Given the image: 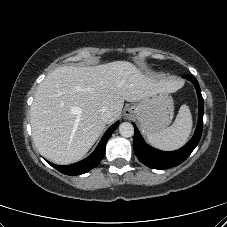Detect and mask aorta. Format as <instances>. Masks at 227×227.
<instances>
[{
	"mask_svg": "<svg viewBox=\"0 0 227 227\" xmlns=\"http://www.w3.org/2000/svg\"><path fill=\"white\" fill-rule=\"evenodd\" d=\"M119 132L123 137H131L134 134V127L129 122H123L119 126Z\"/></svg>",
	"mask_w": 227,
	"mask_h": 227,
	"instance_id": "obj_1",
	"label": "aorta"
}]
</instances>
